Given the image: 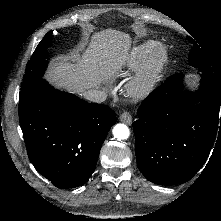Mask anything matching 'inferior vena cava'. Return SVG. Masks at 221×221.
Segmentation results:
<instances>
[{"label":"inferior vena cava","mask_w":221,"mask_h":221,"mask_svg":"<svg viewBox=\"0 0 221 221\" xmlns=\"http://www.w3.org/2000/svg\"><path fill=\"white\" fill-rule=\"evenodd\" d=\"M84 97L89 101L101 103L106 100L107 93L105 91L90 89L84 93Z\"/></svg>","instance_id":"inferior-vena-cava-1"}]
</instances>
